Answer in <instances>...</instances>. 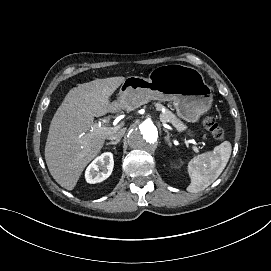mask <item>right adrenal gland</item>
Returning <instances> with one entry per match:
<instances>
[{"label":"right adrenal gland","mask_w":271,"mask_h":271,"mask_svg":"<svg viewBox=\"0 0 271 271\" xmlns=\"http://www.w3.org/2000/svg\"><path fill=\"white\" fill-rule=\"evenodd\" d=\"M117 143H118V142L111 141V142L106 143V145H116Z\"/></svg>","instance_id":"2a0ac1e0"}]
</instances>
